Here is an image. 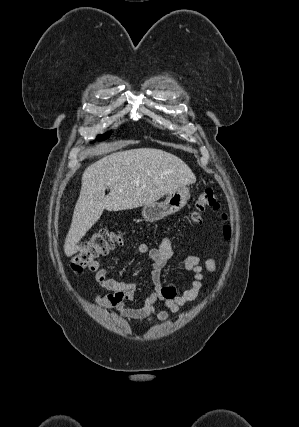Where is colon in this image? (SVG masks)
Returning <instances> with one entry per match:
<instances>
[{
    "label": "colon",
    "mask_w": 299,
    "mask_h": 427,
    "mask_svg": "<svg viewBox=\"0 0 299 427\" xmlns=\"http://www.w3.org/2000/svg\"><path fill=\"white\" fill-rule=\"evenodd\" d=\"M207 210L220 211V203L215 192L211 189H205L198 193L192 212V220L199 222L201 215ZM222 218L225 220L226 215L223 214ZM223 235L226 239L230 238L231 229L228 225L223 226ZM121 241L122 238L116 231L106 228L98 230L71 258V270L75 273L82 272L97 262L100 257L110 253Z\"/></svg>",
    "instance_id": "obj_1"
}]
</instances>
